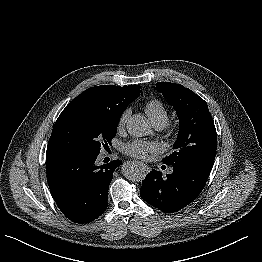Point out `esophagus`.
<instances>
[{"mask_svg":"<svg viewBox=\"0 0 262 262\" xmlns=\"http://www.w3.org/2000/svg\"><path fill=\"white\" fill-rule=\"evenodd\" d=\"M140 166L143 168V170L145 172H149L150 171V167L147 166L146 164L142 163V162H139Z\"/></svg>","mask_w":262,"mask_h":262,"instance_id":"obj_1","label":"esophagus"}]
</instances>
